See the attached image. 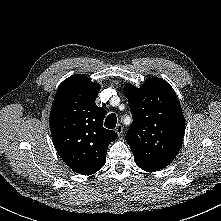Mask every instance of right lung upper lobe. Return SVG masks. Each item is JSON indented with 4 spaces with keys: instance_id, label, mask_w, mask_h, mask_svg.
<instances>
[{
    "instance_id": "cb5924a9",
    "label": "right lung upper lobe",
    "mask_w": 221,
    "mask_h": 221,
    "mask_svg": "<svg viewBox=\"0 0 221 221\" xmlns=\"http://www.w3.org/2000/svg\"><path fill=\"white\" fill-rule=\"evenodd\" d=\"M99 84L82 74L64 80L50 113V130L62 160L76 173L91 175L106 162L108 145L117 138L103 127L105 109L95 104Z\"/></svg>"
}]
</instances>
